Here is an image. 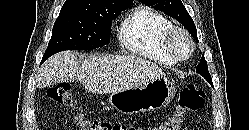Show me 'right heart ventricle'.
I'll list each match as a JSON object with an SVG mask.
<instances>
[{"instance_id":"right-heart-ventricle-1","label":"right heart ventricle","mask_w":249,"mask_h":130,"mask_svg":"<svg viewBox=\"0 0 249 130\" xmlns=\"http://www.w3.org/2000/svg\"><path fill=\"white\" fill-rule=\"evenodd\" d=\"M173 23L163 14L146 6H139L121 22L117 38L128 52L151 59L162 65H174L163 50L162 41Z\"/></svg>"}]
</instances>
